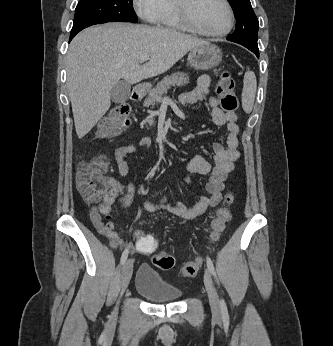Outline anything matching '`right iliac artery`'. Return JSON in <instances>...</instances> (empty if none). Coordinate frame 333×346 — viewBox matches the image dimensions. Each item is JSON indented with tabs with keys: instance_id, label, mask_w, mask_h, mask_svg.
<instances>
[{
	"instance_id": "1",
	"label": "right iliac artery",
	"mask_w": 333,
	"mask_h": 346,
	"mask_svg": "<svg viewBox=\"0 0 333 346\" xmlns=\"http://www.w3.org/2000/svg\"><path fill=\"white\" fill-rule=\"evenodd\" d=\"M128 249H125L124 252L122 253V256H121V260H120V263L121 265H123L128 257Z\"/></svg>"
}]
</instances>
